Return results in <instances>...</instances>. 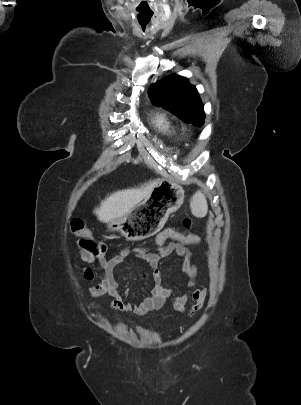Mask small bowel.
I'll use <instances>...</instances> for the list:
<instances>
[{
    "label": "small bowel",
    "mask_w": 301,
    "mask_h": 405,
    "mask_svg": "<svg viewBox=\"0 0 301 405\" xmlns=\"http://www.w3.org/2000/svg\"><path fill=\"white\" fill-rule=\"evenodd\" d=\"M167 241H169L167 243ZM79 249V256L87 262H94L101 273L100 283L94 285L89 289L92 296L109 295L114 300L110 308L116 311H126L129 307L126 296L121 295L120 287L113 275V268L123 263L132 254L136 258L146 262L151 268V276L153 285L148 296L143 298L134 308V312L138 315H144L150 311L162 307L168 299H171V305L177 313L185 312V305L190 300L192 306L188 315H193L198 311L206 298L207 291L205 289L197 288L195 285V265L192 261V254L188 247H181L179 243L173 241V237L166 235L165 231L158 234L156 238V251H149L146 249H130L125 248L119 254L106 259L104 252L106 246L102 242H98L100 252L95 254L86 247L84 242L80 239L77 242ZM175 254L181 263V270L187 278V290L184 294L174 296V289L167 287L162 283V275L159 269V263L162 259ZM84 277L86 279L93 278V272L90 268L84 269ZM142 277H146V273H142Z\"/></svg>",
    "instance_id": "1"
}]
</instances>
